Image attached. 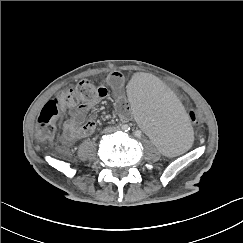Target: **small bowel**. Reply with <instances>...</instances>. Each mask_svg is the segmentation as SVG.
Masks as SVG:
<instances>
[{
    "label": "small bowel",
    "instance_id": "1",
    "mask_svg": "<svg viewBox=\"0 0 243 243\" xmlns=\"http://www.w3.org/2000/svg\"><path fill=\"white\" fill-rule=\"evenodd\" d=\"M107 83L113 88L115 99V109L118 116L122 120H128L131 117V109L126 95L122 91L123 76L117 71H113L106 79ZM108 88L105 85H100L96 88V96L98 99L83 105L78 109L70 112L69 118L64 123L62 138L65 143H73L76 140L85 138L93 133L95 122L93 119H86L87 111L92 108L100 99L107 96Z\"/></svg>",
    "mask_w": 243,
    "mask_h": 243
}]
</instances>
